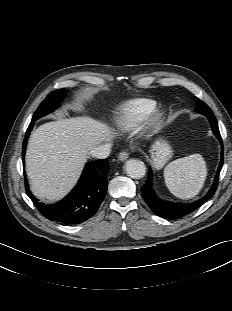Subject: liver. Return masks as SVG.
<instances>
[{"label": "liver", "instance_id": "6515ba94", "mask_svg": "<svg viewBox=\"0 0 232 311\" xmlns=\"http://www.w3.org/2000/svg\"><path fill=\"white\" fill-rule=\"evenodd\" d=\"M113 137L109 126L86 116L39 126L26 152V172L33 194L50 202L63 198L76 184L89 152Z\"/></svg>", "mask_w": 232, "mask_h": 311}]
</instances>
